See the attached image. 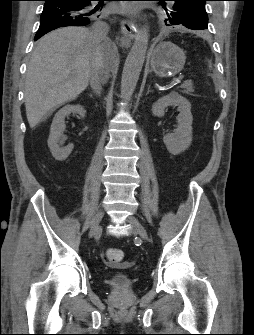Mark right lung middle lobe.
<instances>
[{
	"instance_id": "obj_1",
	"label": "right lung middle lobe",
	"mask_w": 254,
	"mask_h": 335,
	"mask_svg": "<svg viewBox=\"0 0 254 335\" xmlns=\"http://www.w3.org/2000/svg\"><path fill=\"white\" fill-rule=\"evenodd\" d=\"M99 8H100V6H97V7H96V11H97ZM96 11H95V12H96Z\"/></svg>"
}]
</instances>
